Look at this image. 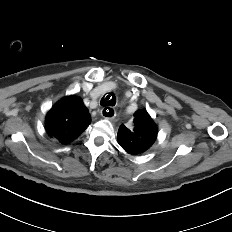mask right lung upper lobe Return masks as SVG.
I'll use <instances>...</instances> for the list:
<instances>
[{
	"mask_svg": "<svg viewBox=\"0 0 232 232\" xmlns=\"http://www.w3.org/2000/svg\"><path fill=\"white\" fill-rule=\"evenodd\" d=\"M91 122L82 99L75 95L59 100L48 112L45 129L50 137L62 144H68L78 138Z\"/></svg>",
	"mask_w": 232,
	"mask_h": 232,
	"instance_id": "right-lung-upper-lobe-1",
	"label": "right lung upper lobe"
}]
</instances>
